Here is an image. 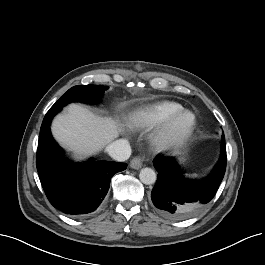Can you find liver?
<instances>
[{
    "instance_id": "6515ba94",
    "label": "liver",
    "mask_w": 265,
    "mask_h": 265,
    "mask_svg": "<svg viewBox=\"0 0 265 265\" xmlns=\"http://www.w3.org/2000/svg\"><path fill=\"white\" fill-rule=\"evenodd\" d=\"M55 139L78 159L100 151L115 139L121 128L112 118L100 117L88 109L71 104L65 114L56 116L51 126Z\"/></svg>"
}]
</instances>
